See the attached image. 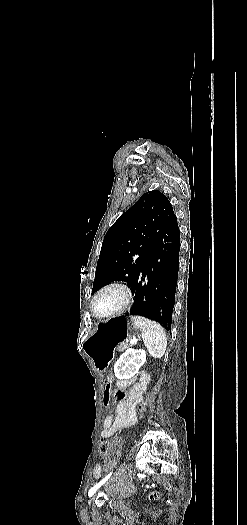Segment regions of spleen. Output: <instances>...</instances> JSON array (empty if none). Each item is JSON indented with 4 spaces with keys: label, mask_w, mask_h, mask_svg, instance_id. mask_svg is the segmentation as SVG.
Listing matches in <instances>:
<instances>
[{
    "label": "spleen",
    "mask_w": 247,
    "mask_h": 525,
    "mask_svg": "<svg viewBox=\"0 0 247 525\" xmlns=\"http://www.w3.org/2000/svg\"><path fill=\"white\" fill-rule=\"evenodd\" d=\"M131 319L136 329H140L144 345L150 357L161 359L165 355L167 347V337L163 327L159 323H155V321L145 319V317H131Z\"/></svg>",
    "instance_id": "1"
}]
</instances>
